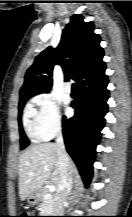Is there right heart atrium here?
<instances>
[{"instance_id": "obj_1", "label": "right heart atrium", "mask_w": 132, "mask_h": 217, "mask_svg": "<svg viewBox=\"0 0 132 217\" xmlns=\"http://www.w3.org/2000/svg\"><path fill=\"white\" fill-rule=\"evenodd\" d=\"M37 106V129L41 139H50L55 136L62 126L60 104L50 93H42L33 98Z\"/></svg>"}]
</instances>
